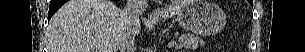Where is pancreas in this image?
Here are the masks:
<instances>
[{
    "label": "pancreas",
    "instance_id": "pancreas-1",
    "mask_svg": "<svg viewBox=\"0 0 305 52\" xmlns=\"http://www.w3.org/2000/svg\"><path fill=\"white\" fill-rule=\"evenodd\" d=\"M203 41L199 36L193 34H183L178 38L177 48H190L196 49L199 45H203Z\"/></svg>",
    "mask_w": 305,
    "mask_h": 52
}]
</instances>
